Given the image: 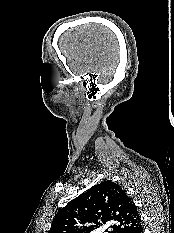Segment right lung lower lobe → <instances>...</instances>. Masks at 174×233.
Masks as SVG:
<instances>
[{
  "instance_id": "98d812e1",
  "label": "right lung lower lobe",
  "mask_w": 174,
  "mask_h": 233,
  "mask_svg": "<svg viewBox=\"0 0 174 233\" xmlns=\"http://www.w3.org/2000/svg\"><path fill=\"white\" fill-rule=\"evenodd\" d=\"M134 233H143L142 226H140L137 230H135Z\"/></svg>"
}]
</instances>
